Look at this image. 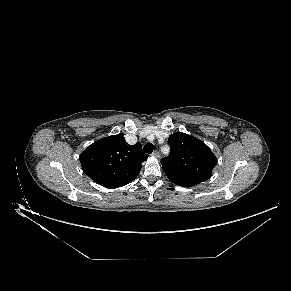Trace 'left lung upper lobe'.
Segmentation results:
<instances>
[{
	"label": "left lung upper lobe",
	"instance_id": "1",
	"mask_svg": "<svg viewBox=\"0 0 291 291\" xmlns=\"http://www.w3.org/2000/svg\"><path fill=\"white\" fill-rule=\"evenodd\" d=\"M168 141L171 153L161 164L170 181L192 187L211 177L217 159L204 142L182 132L172 134Z\"/></svg>",
	"mask_w": 291,
	"mask_h": 291
}]
</instances>
